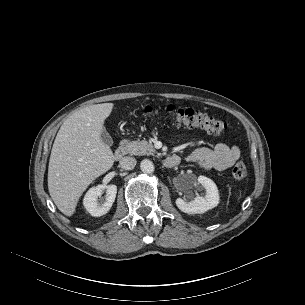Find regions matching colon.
Listing matches in <instances>:
<instances>
[{"label":"colon","instance_id":"colon-1","mask_svg":"<svg viewBox=\"0 0 305 305\" xmlns=\"http://www.w3.org/2000/svg\"><path fill=\"white\" fill-rule=\"evenodd\" d=\"M144 113L148 116L170 119L177 126L199 127L215 134L223 133L228 127L225 121L214 118L203 111L193 108L178 107L174 104L146 106L144 108ZM246 174V165L243 162H238L233 168V177L236 180H242L245 178Z\"/></svg>","mask_w":305,"mask_h":305}]
</instances>
